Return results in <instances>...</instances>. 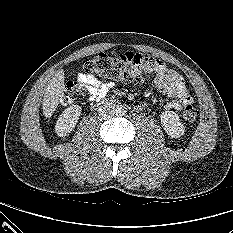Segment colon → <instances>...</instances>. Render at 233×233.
Returning a JSON list of instances; mask_svg holds the SVG:
<instances>
[{"label": "colon", "instance_id": "obj_1", "mask_svg": "<svg viewBox=\"0 0 233 233\" xmlns=\"http://www.w3.org/2000/svg\"><path fill=\"white\" fill-rule=\"evenodd\" d=\"M139 61L124 56H109L99 53L90 61L84 64L86 72L95 73L104 78L118 82H139L142 79L139 70ZM85 97V90L74 81L66 84L62 101L64 104H71ZM198 117V111L192 105L185 107L183 119L192 123Z\"/></svg>", "mask_w": 233, "mask_h": 233}]
</instances>
